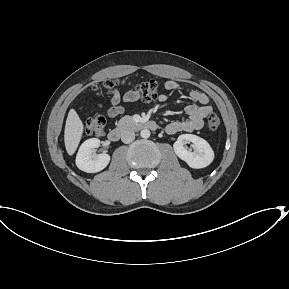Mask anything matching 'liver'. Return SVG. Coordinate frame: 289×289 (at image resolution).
<instances>
[{
    "label": "liver",
    "mask_w": 289,
    "mask_h": 289,
    "mask_svg": "<svg viewBox=\"0 0 289 289\" xmlns=\"http://www.w3.org/2000/svg\"><path fill=\"white\" fill-rule=\"evenodd\" d=\"M83 123L74 109H70L64 131V142L67 153H75L83 134Z\"/></svg>",
    "instance_id": "6515ba94"
}]
</instances>
